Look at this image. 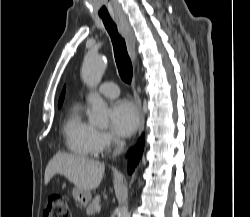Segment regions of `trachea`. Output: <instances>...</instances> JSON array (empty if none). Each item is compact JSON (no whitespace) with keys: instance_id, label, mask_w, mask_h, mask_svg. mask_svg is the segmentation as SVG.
<instances>
[{"instance_id":"1","label":"trachea","mask_w":250,"mask_h":217,"mask_svg":"<svg viewBox=\"0 0 250 217\" xmlns=\"http://www.w3.org/2000/svg\"><path fill=\"white\" fill-rule=\"evenodd\" d=\"M103 23L113 44L115 61L120 77L124 82L129 84L132 80L133 68L127 52L125 40L118 33L117 26L113 20L103 19Z\"/></svg>"}]
</instances>
